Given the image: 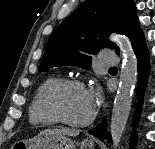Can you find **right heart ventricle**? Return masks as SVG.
I'll return each instance as SVG.
<instances>
[{"instance_id": "e07e8e85", "label": "right heart ventricle", "mask_w": 155, "mask_h": 149, "mask_svg": "<svg viewBox=\"0 0 155 149\" xmlns=\"http://www.w3.org/2000/svg\"><path fill=\"white\" fill-rule=\"evenodd\" d=\"M60 79L58 76L48 77L36 89L29 105V122L32 125L50 127L58 123L46 107L45 96L49 88Z\"/></svg>"}]
</instances>
